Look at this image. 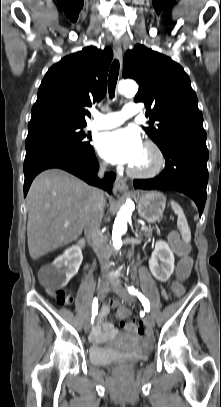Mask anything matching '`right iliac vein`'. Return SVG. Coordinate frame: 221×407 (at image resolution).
<instances>
[{
  "label": "right iliac vein",
  "instance_id": "right-iliac-vein-1",
  "mask_svg": "<svg viewBox=\"0 0 221 407\" xmlns=\"http://www.w3.org/2000/svg\"><path fill=\"white\" fill-rule=\"evenodd\" d=\"M109 289H110V285H109L108 282H101V283L99 284V287H98V296H99V299H100V300L103 299L104 295L109 291ZM90 326H91V323H90V319L88 318V319L86 320L85 324H84V330H85L86 333L89 332Z\"/></svg>",
  "mask_w": 221,
  "mask_h": 407
}]
</instances>
